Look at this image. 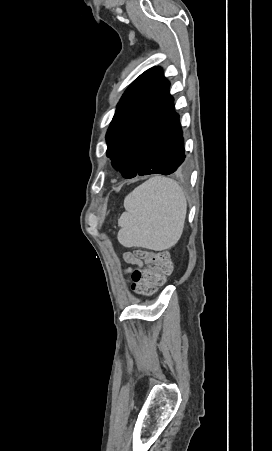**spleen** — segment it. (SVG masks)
<instances>
[{
  "label": "spleen",
  "mask_w": 272,
  "mask_h": 451,
  "mask_svg": "<svg viewBox=\"0 0 272 451\" xmlns=\"http://www.w3.org/2000/svg\"><path fill=\"white\" fill-rule=\"evenodd\" d=\"M118 220V241L125 247L169 249L180 239L187 202L182 188L171 178H150L124 200Z\"/></svg>",
  "instance_id": "3e777b00"
}]
</instances>
